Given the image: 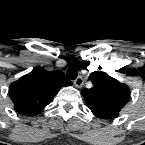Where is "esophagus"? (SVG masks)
I'll return each instance as SVG.
<instances>
[{
    "mask_svg": "<svg viewBox=\"0 0 145 145\" xmlns=\"http://www.w3.org/2000/svg\"><path fill=\"white\" fill-rule=\"evenodd\" d=\"M73 83H74L75 87L80 88L83 85L82 77L81 76L77 77Z\"/></svg>",
    "mask_w": 145,
    "mask_h": 145,
    "instance_id": "34e87169",
    "label": "esophagus"
}]
</instances>
